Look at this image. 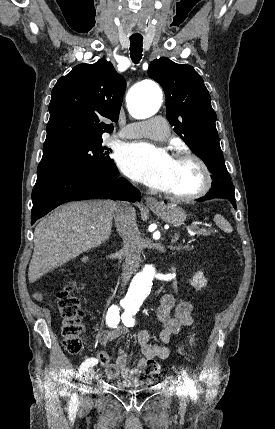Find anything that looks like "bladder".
Instances as JSON below:
<instances>
[{
    "label": "bladder",
    "mask_w": 275,
    "mask_h": 429,
    "mask_svg": "<svg viewBox=\"0 0 275 429\" xmlns=\"http://www.w3.org/2000/svg\"><path fill=\"white\" fill-rule=\"evenodd\" d=\"M115 385L118 387H125V391L127 393H134L136 391V387H141L145 384L140 383V380L138 378H129L127 380V383L116 382Z\"/></svg>",
    "instance_id": "obj_1"
}]
</instances>
